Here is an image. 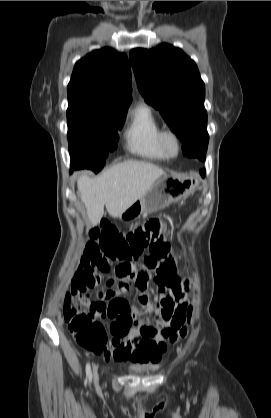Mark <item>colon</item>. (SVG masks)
Segmentation results:
<instances>
[{
    "label": "colon",
    "instance_id": "1",
    "mask_svg": "<svg viewBox=\"0 0 271 418\" xmlns=\"http://www.w3.org/2000/svg\"><path fill=\"white\" fill-rule=\"evenodd\" d=\"M166 222L161 218H150L132 230L122 233L108 221L101 223L90 231V240L86 244L81 265L73 278L74 285H80L83 279L93 285V263L97 260L111 259L130 262L144 255L148 245L164 238ZM167 254L169 246L167 244ZM148 255V254H147ZM104 266V263H101ZM160 273L165 271L162 261L158 262ZM86 288L72 289L65 297L64 318L77 343L83 348L97 352L105 348L111 341L107 338V330L103 323L96 322L97 314H90L82 308L81 303L87 300ZM163 317L168 327L163 330L165 340L174 343L187 334L186 323L190 321L191 309L164 310ZM134 316V315H133ZM148 333L147 329L142 330Z\"/></svg>",
    "mask_w": 271,
    "mask_h": 418
}]
</instances>
